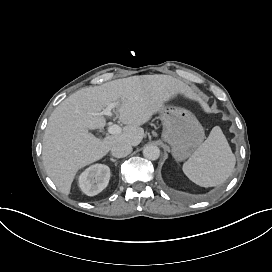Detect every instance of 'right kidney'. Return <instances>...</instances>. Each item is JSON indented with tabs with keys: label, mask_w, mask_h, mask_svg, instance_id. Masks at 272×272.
I'll return each mask as SVG.
<instances>
[{
	"label": "right kidney",
	"mask_w": 272,
	"mask_h": 272,
	"mask_svg": "<svg viewBox=\"0 0 272 272\" xmlns=\"http://www.w3.org/2000/svg\"><path fill=\"white\" fill-rule=\"evenodd\" d=\"M110 169L106 165H94L80 176V188L88 196L99 194L109 183Z\"/></svg>",
	"instance_id": "right-kidney-1"
}]
</instances>
